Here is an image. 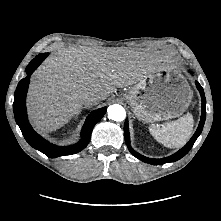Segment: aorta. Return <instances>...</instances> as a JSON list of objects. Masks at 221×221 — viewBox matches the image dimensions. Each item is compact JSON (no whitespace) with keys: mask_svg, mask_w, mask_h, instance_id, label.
Returning a JSON list of instances; mask_svg holds the SVG:
<instances>
[{"mask_svg":"<svg viewBox=\"0 0 221 221\" xmlns=\"http://www.w3.org/2000/svg\"><path fill=\"white\" fill-rule=\"evenodd\" d=\"M108 118L117 122H121L126 117V111L123 106L119 104H113L108 107Z\"/></svg>","mask_w":221,"mask_h":221,"instance_id":"aorta-1","label":"aorta"}]
</instances>
